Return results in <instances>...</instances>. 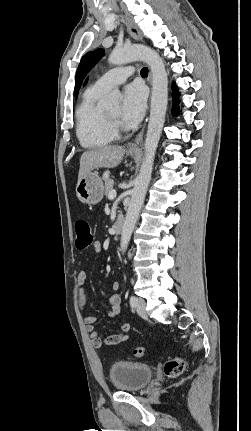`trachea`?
I'll list each match as a JSON object with an SVG mask.
<instances>
[{
    "label": "trachea",
    "instance_id": "obj_1",
    "mask_svg": "<svg viewBox=\"0 0 251 431\" xmlns=\"http://www.w3.org/2000/svg\"><path fill=\"white\" fill-rule=\"evenodd\" d=\"M141 75H142V76H147V75H148V68H146V67H145V68H142V69H141Z\"/></svg>",
    "mask_w": 251,
    "mask_h": 431
}]
</instances>
